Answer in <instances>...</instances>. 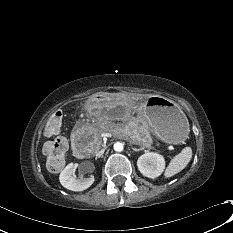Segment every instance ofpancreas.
<instances>
[{
    "label": "pancreas",
    "mask_w": 233,
    "mask_h": 233,
    "mask_svg": "<svg viewBox=\"0 0 233 233\" xmlns=\"http://www.w3.org/2000/svg\"><path fill=\"white\" fill-rule=\"evenodd\" d=\"M88 132L92 135L89 147L93 153H96L102 146L101 130L91 125L88 126ZM130 141L133 144L140 145L142 148L152 149V137L147 123L143 119H134L132 129L130 130Z\"/></svg>",
    "instance_id": "1"
}]
</instances>
